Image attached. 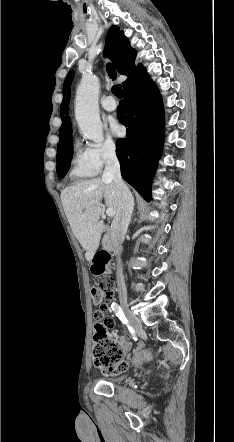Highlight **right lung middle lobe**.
<instances>
[{
    "mask_svg": "<svg viewBox=\"0 0 234 442\" xmlns=\"http://www.w3.org/2000/svg\"><path fill=\"white\" fill-rule=\"evenodd\" d=\"M72 141L73 138H70L64 145L58 147L57 174L59 177H64L70 168L69 162L73 157Z\"/></svg>",
    "mask_w": 234,
    "mask_h": 442,
    "instance_id": "obj_1",
    "label": "right lung middle lobe"
}]
</instances>
